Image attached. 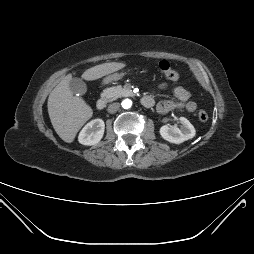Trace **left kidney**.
Here are the masks:
<instances>
[{"mask_svg":"<svg viewBox=\"0 0 254 254\" xmlns=\"http://www.w3.org/2000/svg\"><path fill=\"white\" fill-rule=\"evenodd\" d=\"M181 127L164 125L160 128V135L170 143L180 144L186 140L192 139L195 134L194 126L188 119L180 117Z\"/></svg>","mask_w":254,"mask_h":254,"instance_id":"5707ae66","label":"left kidney"}]
</instances>
